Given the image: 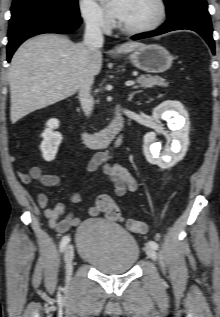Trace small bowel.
I'll return each instance as SVG.
<instances>
[{
  "label": "small bowel",
  "instance_id": "c3829d8e",
  "mask_svg": "<svg viewBox=\"0 0 220 317\" xmlns=\"http://www.w3.org/2000/svg\"><path fill=\"white\" fill-rule=\"evenodd\" d=\"M107 155H96L87 165L88 172L96 171L101 165H104V171L108 176V180L113 186V192L116 196H123L127 191H136L138 184L136 179L123 167L117 164L107 163ZM19 179L22 183L28 184L32 180L41 183L44 186H56L60 183V176L56 174H46L39 167H32L30 172L20 173ZM110 198L107 194H101L96 198L95 204L88 209L91 216H98L104 213L103 201ZM37 200L41 208L44 209V214L48 219L49 225L58 232H66L70 228L77 226L81 219L73 213L65 214L63 204H57L53 208L48 207V198L45 193L39 192ZM81 200V195L74 192L69 195L70 203H78Z\"/></svg>",
  "mask_w": 220,
  "mask_h": 317
}]
</instances>
